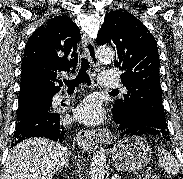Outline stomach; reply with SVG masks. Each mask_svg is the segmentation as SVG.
I'll use <instances>...</instances> for the list:
<instances>
[{
    "mask_svg": "<svg viewBox=\"0 0 183 179\" xmlns=\"http://www.w3.org/2000/svg\"><path fill=\"white\" fill-rule=\"evenodd\" d=\"M152 147L140 136L124 138L111 151L114 166L119 171L132 172L144 168L151 160Z\"/></svg>",
    "mask_w": 183,
    "mask_h": 179,
    "instance_id": "obj_1",
    "label": "stomach"
}]
</instances>
